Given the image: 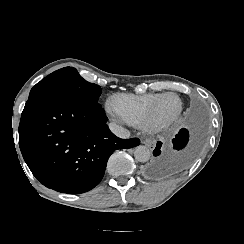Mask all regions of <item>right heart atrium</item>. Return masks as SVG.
Listing matches in <instances>:
<instances>
[{
  "instance_id": "d8ad5b80",
  "label": "right heart atrium",
  "mask_w": 244,
  "mask_h": 244,
  "mask_svg": "<svg viewBox=\"0 0 244 244\" xmlns=\"http://www.w3.org/2000/svg\"><path fill=\"white\" fill-rule=\"evenodd\" d=\"M114 110H113V107H112V103L110 104L109 108H108V114L110 117H113V114H114Z\"/></svg>"
}]
</instances>
